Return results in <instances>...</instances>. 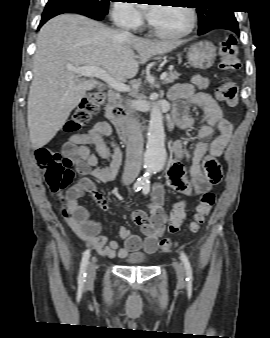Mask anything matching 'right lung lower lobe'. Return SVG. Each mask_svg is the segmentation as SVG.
Masks as SVG:
<instances>
[{
	"label": "right lung lower lobe",
	"instance_id": "right-lung-lower-lobe-1",
	"mask_svg": "<svg viewBox=\"0 0 270 338\" xmlns=\"http://www.w3.org/2000/svg\"><path fill=\"white\" fill-rule=\"evenodd\" d=\"M63 13H78L82 14L85 16H88L90 18L96 19V20H102L105 16V14L90 11V10H85V9H80V8H75V9H62V8H55V9H45L43 14H42V19L40 22V25L38 29L50 18L57 16L59 14Z\"/></svg>",
	"mask_w": 270,
	"mask_h": 338
}]
</instances>
